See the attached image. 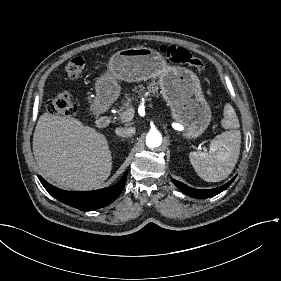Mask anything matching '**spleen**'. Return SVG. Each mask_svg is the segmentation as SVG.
I'll list each match as a JSON object with an SVG mask.
<instances>
[{
	"mask_svg": "<svg viewBox=\"0 0 281 281\" xmlns=\"http://www.w3.org/2000/svg\"><path fill=\"white\" fill-rule=\"evenodd\" d=\"M222 126L227 131L218 135L210 151L190 153L191 163L199 176L207 182H220L234 170L241 147L240 122L235 109L226 103L223 111Z\"/></svg>",
	"mask_w": 281,
	"mask_h": 281,
	"instance_id": "3e777b00",
	"label": "spleen"
}]
</instances>
